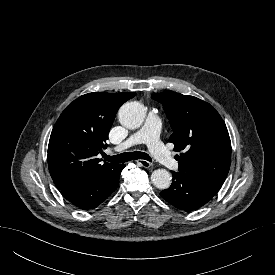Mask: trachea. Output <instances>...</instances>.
Returning a JSON list of instances; mask_svg holds the SVG:
<instances>
[{
  "mask_svg": "<svg viewBox=\"0 0 275 275\" xmlns=\"http://www.w3.org/2000/svg\"><path fill=\"white\" fill-rule=\"evenodd\" d=\"M104 158L106 161H109L111 163H124V162L131 161L133 159L134 160L143 159L147 161H152L151 157L147 153L140 152V151L125 152L115 156L105 155Z\"/></svg>",
  "mask_w": 275,
  "mask_h": 275,
  "instance_id": "1",
  "label": "trachea"
}]
</instances>
